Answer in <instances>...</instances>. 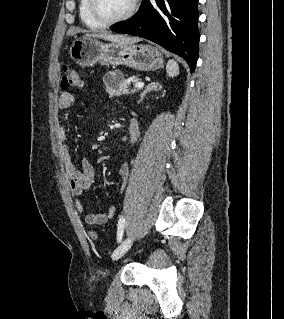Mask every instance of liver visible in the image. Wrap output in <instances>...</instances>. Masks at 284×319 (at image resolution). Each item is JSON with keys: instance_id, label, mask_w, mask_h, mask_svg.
Instances as JSON below:
<instances>
[{"instance_id": "obj_1", "label": "liver", "mask_w": 284, "mask_h": 319, "mask_svg": "<svg viewBox=\"0 0 284 319\" xmlns=\"http://www.w3.org/2000/svg\"><path fill=\"white\" fill-rule=\"evenodd\" d=\"M87 37H94V38H101L104 40H108L111 42H117L121 44H133L140 41L139 38L136 37H128L126 35H119V34H110L107 32L103 33H95V34H86Z\"/></svg>"}]
</instances>
